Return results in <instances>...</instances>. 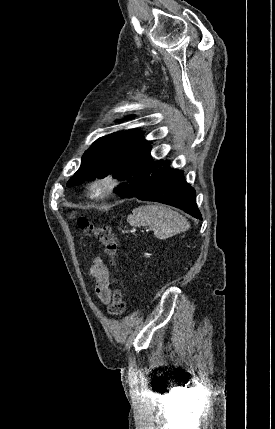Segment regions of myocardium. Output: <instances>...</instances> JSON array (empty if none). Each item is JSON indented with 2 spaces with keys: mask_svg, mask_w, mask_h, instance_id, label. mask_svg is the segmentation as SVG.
Returning <instances> with one entry per match:
<instances>
[{
  "mask_svg": "<svg viewBox=\"0 0 275 429\" xmlns=\"http://www.w3.org/2000/svg\"><path fill=\"white\" fill-rule=\"evenodd\" d=\"M122 180L113 173L95 177L89 184L88 197L94 201H102L111 197L120 188Z\"/></svg>",
  "mask_w": 275,
  "mask_h": 429,
  "instance_id": "obj_1",
  "label": "myocardium"
}]
</instances>
